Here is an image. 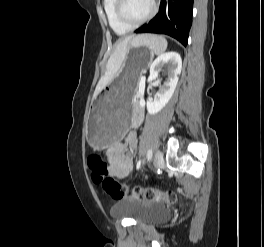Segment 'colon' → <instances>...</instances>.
<instances>
[{
    "instance_id": "colon-1",
    "label": "colon",
    "mask_w": 264,
    "mask_h": 247,
    "mask_svg": "<svg viewBox=\"0 0 264 247\" xmlns=\"http://www.w3.org/2000/svg\"><path fill=\"white\" fill-rule=\"evenodd\" d=\"M91 170L92 181L102 185L103 190L112 198L120 199L125 197L143 198L150 201L165 202L174 204L177 201V195L172 191H162L154 188H143L139 186H127L119 184L108 177V165L98 154H91L87 159Z\"/></svg>"
}]
</instances>
